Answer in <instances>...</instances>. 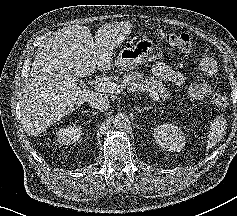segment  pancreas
I'll use <instances>...</instances> for the list:
<instances>
[{"label":"pancreas","mask_w":237,"mask_h":216,"mask_svg":"<svg viewBox=\"0 0 237 216\" xmlns=\"http://www.w3.org/2000/svg\"><path fill=\"white\" fill-rule=\"evenodd\" d=\"M125 86H132L135 84L138 89L146 92L150 97H153L156 93L161 98L171 96V92L163 86V83L152 76H143L142 73L128 72L123 78Z\"/></svg>","instance_id":"1"}]
</instances>
